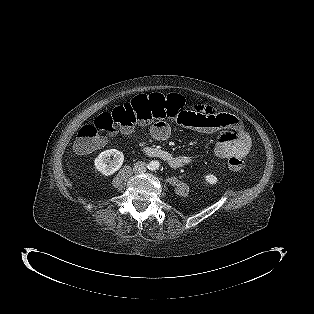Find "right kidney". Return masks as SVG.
Returning <instances> with one entry per match:
<instances>
[{
	"instance_id": "1",
	"label": "right kidney",
	"mask_w": 314,
	"mask_h": 314,
	"mask_svg": "<svg viewBox=\"0 0 314 314\" xmlns=\"http://www.w3.org/2000/svg\"><path fill=\"white\" fill-rule=\"evenodd\" d=\"M113 156V160L111 157ZM124 162V154L116 149L101 152L94 161L95 168L105 176L118 171Z\"/></svg>"
}]
</instances>
